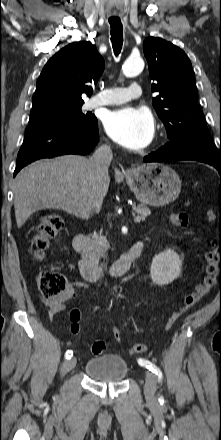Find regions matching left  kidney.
Instances as JSON below:
<instances>
[{"label": "left kidney", "instance_id": "obj_1", "mask_svg": "<svg viewBox=\"0 0 221 440\" xmlns=\"http://www.w3.org/2000/svg\"><path fill=\"white\" fill-rule=\"evenodd\" d=\"M182 259L172 249L155 255L150 267L152 282L159 286L167 285L180 276Z\"/></svg>", "mask_w": 221, "mask_h": 440}]
</instances>
